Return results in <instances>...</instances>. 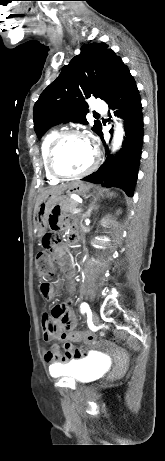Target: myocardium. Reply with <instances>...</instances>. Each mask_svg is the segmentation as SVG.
<instances>
[{"label":"myocardium","mask_w":165,"mask_h":461,"mask_svg":"<svg viewBox=\"0 0 165 461\" xmlns=\"http://www.w3.org/2000/svg\"><path fill=\"white\" fill-rule=\"evenodd\" d=\"M69 137H81V138H84L86 139L89 143V139L88 137L78 131V130H65L61 133H59L55 138L54 140L51 142L50 146H49V149H48V152H47V158H46V166H47V169L49 171V173L58 178V179H78V178H82L88 174H90L91 172H93L96 167L98 166V163H99V152L97 150V148L93 145H91L92 147V150H93V159H92V162L90 163V165L85 169L83 170L82 172H79V173H75V174H65V173H62L61 171H59L56 167V163H55V157H56V153H57V150L59 148V146L61 145V143L69 138Z\"/></svg>","instance_id":"f54148a6"}]
</instances>
